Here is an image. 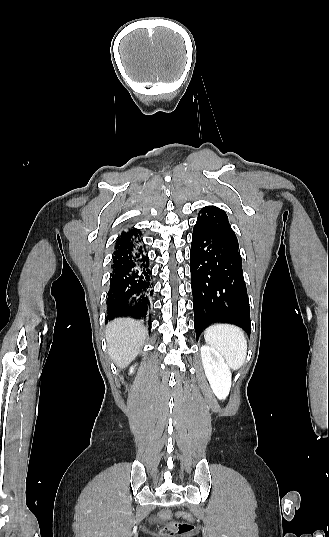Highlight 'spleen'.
<instances>
[{"label":"spleen","mask_w":329,"mask_h":537,"mask_svg":"<svg viewBox=\"0 0 329 537\" xmlns=\"http://www.w3.org/2000/svg\"><path fill=\"white\" fill-rule=\"evenodd\" d=\"M208 345L218 350L232 369H239L247 355V341L243 331L230 324H215L204 332Z\"/></svg>","instance_id":"obj_1"}]
</instances>
